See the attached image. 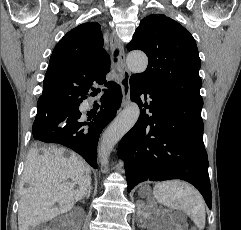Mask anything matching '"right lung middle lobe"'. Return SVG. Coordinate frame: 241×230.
Returning <instances> with one entry per match:
<instances>
[{
	"mask_svg": "<svg viewBox=\"0 0 241 230\" xmlns=\"http://www.w3.org/2000/svg\"><path fill=\"white\" fill-rule=\"evenodd\" d=\"M77 101L73 100V101H66V102H63V103H71V104H74L76 103ZM63 103H58V104H53V103H50V106L51 107H56L60 104H63ZM72 119H69V118H59V119H55L53 122H51V126H58V125H61V124H65V123H68L70 122Z\"/></svg>",
	"mask_w": 241,
	"mask_h": 230,
	"instance_id": "dd1d6c3e",
	"label": "right lung middle lobe"
}]
</instances>
